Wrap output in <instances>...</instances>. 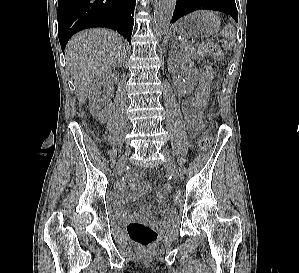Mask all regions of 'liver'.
<instances>
[{"instance_id":"liver-1","label":"liver","mask_w":299,"mask_h":273,"mask_svg":"<svg viewBox=\"0 0 299 273\" xmlns=\"http://www.w3.org/2000/svg\"><path fill=\"white\" fill-rule=\"evenodd\" d=\"M65 53L77 98L82 105L95 79L119 66L125 54V40L108 29L84 30L70 39Z\"/></svg>"}]
</instances>
